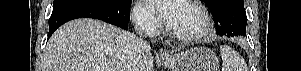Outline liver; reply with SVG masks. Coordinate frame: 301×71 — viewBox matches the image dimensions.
Listing matches in <instances>:
<instances>
[{
	"mask_svg": "<svg viewBox=\"0 0 301 71\" xmlns=\"http://www.w3.org/2000/svg\"><path fill=\"white\" fill-rule=\"evenodd\" d=\"M43 71H153V56L135 34L80 18L51 36L43 55Z\"/></svg>",
	"mask_w": 301,
	"mask_h": 71,
	"instance_id": "1",
	"label": "liver"
}]
</instances>
